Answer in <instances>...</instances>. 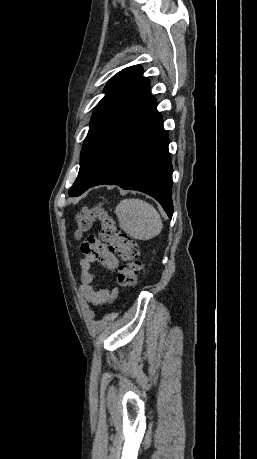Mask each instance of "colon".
Here are the masks:
<instances>
[{"label":"colon","mask_w":257,"mask_h":459,"mask_svg":"<svg viewBox=\"0 0 257 459\" xmlns=\"http://www.w3.org/2000/svg\"><path fill=\"white\" fill-rule=\"evenodd\" d=\"M95 219L101 221V240L122 260L117 275L118 284L124 288L135 287L141 270L137 243L119 230L104 202L85 206L76 214L75 237L79 238L82 232L88 230Z\"/></svg>","instance_id":"1"}]
</instances>
